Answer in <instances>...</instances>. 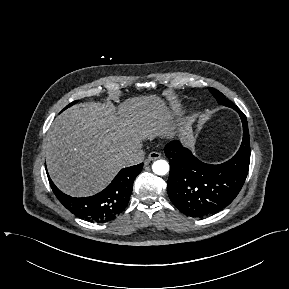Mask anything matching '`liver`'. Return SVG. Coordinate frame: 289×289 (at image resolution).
Masks as SVG:
<instances>
[{
  "label": "liver",
  "instance_id": "obj_1",
  "mask_svg": "<svg viewBox=\"0 0 289 289\" xmlns=\"http://www.w3.org/2000/svg\"><path fill=\"white\" fill-rule=\"evenodd\" d=\"M168 118L156 95L131 98L117 109L75 105L54 120L46 135L49 175L70 196L96 194L127 166L124 157L140 150L143 138L165 131Z\"/></svg>",
  "mask_w": 289,
  "mask_h": 289
}]
</instances>
